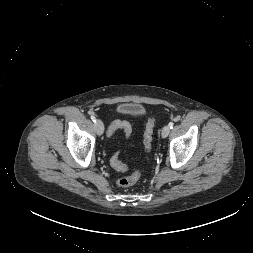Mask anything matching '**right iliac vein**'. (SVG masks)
<instances>
[{"instance_id":"right-iliac-vein-1","label":"right iliac vein","mask_w":253,"mask_h":253,"mask_svg":"<svg viewBox=\"0 0 253 253\" xmlns=\"http://www.w3.org/2000/svg\"><path fill=\"white\" fill-rule=\"evenodd\" d=\"M96 133L101 136L104 132V125L101 120H97L95 124Z\"/></svg>"}]
</instances>
